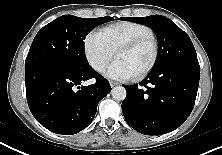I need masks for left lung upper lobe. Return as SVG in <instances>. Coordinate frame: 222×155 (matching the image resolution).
<instances>
[{
  "label": "left lung upper lobe",
  "instance_id": "left-lung-upper-lobe-1",
  "mask_svg": "<svg viewBox=\"0 0 222 155\" xmlns=\"http://www.w3.org/2000/svg\"><path fill=\"white\" fill-rule=\"evenodd\" d=\"M122 20L148 25L155 32L158 42V56L152 70L173 64H187L199 67L197 55L191 39L167 17L151 15L147 17H122Z\"/></svg>",
  "mask_w": 222,
  "mask_h": 155
}]
</instances>
